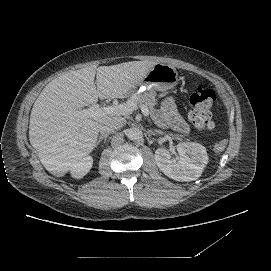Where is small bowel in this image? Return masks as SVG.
Returning <instances> with one entry per match:
<instances>
[{
  "instance_id": "small-bowel-1",
  "label": "small bowel",
  "mask_w": 271,
  "mask_h": 271,
  "mask_svg": "<svg viewBox=\"0 0 271 271\" xmlns=\"http://www.w3.org/2000/svg\"><path fill=\"white\" fill-rule=\"evenodd\" d=\"M162 109L169 120L170 124L179 132L186 133L187 126L181 117L178 115L175 102L173 99H166L162 104Z\"/></svg>"
}]
</instances>
